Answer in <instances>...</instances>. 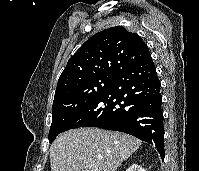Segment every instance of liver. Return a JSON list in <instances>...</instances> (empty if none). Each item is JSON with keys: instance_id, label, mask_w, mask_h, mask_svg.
<instances>
[{"instance_id": "6515ba94", "label": "liver", "mask_w": 199, "mask_h": 171, "mask_svg": "<svg viewBox=\"0 0 199 171\" xmlns=\"http://www.w3.org/2000/svg\"><path fill=\"white\" fill-rule=\"evenodd\" d=\"M141 145L129 134L79 128L60 134L50 147L51 171H116Z\"/></svg>"}]
</instances>
